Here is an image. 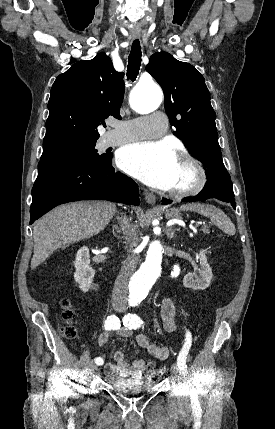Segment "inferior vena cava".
I'll list each match as a JSON object with an SVG mask.
<instances>
[{
  "mask_svg": "<svg viewBox=\"0 0 275 429\" xmlns=\"http://www.w3.org/2000/svg\"><path fill=\"white\" fill-rule=\"evenodd\" d=\"M120 224L126 242L131 249L135 248L138 244V236L132 224V218H128L124 215V217L120 218ZM138 259L139 255L132 253L124 261L112 292V301L114 303L125 304L128 295L129 280L136 269Z\"/></svg>",
  "mask_w": 275,
  "mask_h": 429,
  "instance_id": "1",
  "label": "inferior vena cava"
}]
</instances>
